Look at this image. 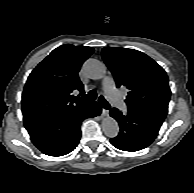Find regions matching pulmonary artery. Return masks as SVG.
Returning <instances> with one entry per match:
<instances>
[{
	"label": "pulmonary artery",
	"instance_id": "obj_1",
	"mask_svg": "<svg viewBox=\"0 0 194 193\" xmlns=\"http://www.w3.org/2000/svg\"><path fill=\"white\" fill-rule=\"evenodd\" d=\"M103 87L106 93V96L112 102V104L120 109L123 110L125 108V103L121 98L119 92L115 88L114 81L111 77H106L103 81Z\"/></svg>",
	"mask_w": 194,
	"mask_h": 193
}]
</instances>
